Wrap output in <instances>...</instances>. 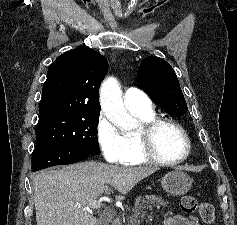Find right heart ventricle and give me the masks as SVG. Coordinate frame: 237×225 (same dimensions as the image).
Segmentation results:
<instances>
[{
    "label": "right heart ventricle",
    "instance_id": "right-heart-ventricle-1",
    "mask_svg": "<svg viewBox=\"0 0 237 225\" xmlns=\"http://www.w3.org/2000/svg\"><path fill=\"white\" fill-rule=\"evenodd\" d=\"M130 110L140 120L141 123H145L156 118L155 112L152 108L148 111H141L135 109ZM124 137L129 146V152L122 163L125 165H138L146 163L147 160L140 152L139 144L136 137V131L127 132L124 134Z\"/></svg>",
    "mask_w": 237,
    "mask_h": 225
}]
</instances>
